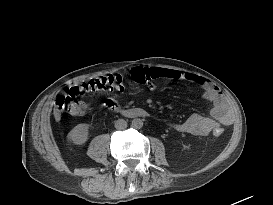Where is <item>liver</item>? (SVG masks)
Instances as JSON below:
<instances>
[{
	"instance_id": "obj_1",
	"label": "liver",
	"mask_w": 273,
	"mask_h": 205,
	"mask_svg": "<svg viewBox=\"0 0 273 205\" xmlns=\"http://www.w3.org/2000/svg\"><path fill=\"white\" fill-rule=\"evenodd\" d=\"M54 116H55V119H56L57 121L60 120V114H59V113L54 112Z\"/></svg>"
}]
</instances>
